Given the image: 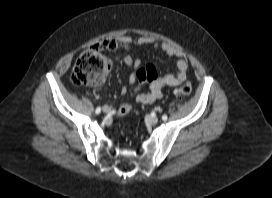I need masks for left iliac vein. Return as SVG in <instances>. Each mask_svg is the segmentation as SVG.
Instances as JSON below:
<instances>
[{"instance_id":"1","label":"left iliac vein","mask_w":272,"mask_h":198,"mask_svg":"<svg viewBox=\"0 0 272 198\" xmlns=\"http://www.w3.org/2000/svg\"><path fill=\"white\" fill-rule=\"evenodd\" d=\"M148 122L152 125H155L158 123V118L156 116H149L147 118Z\"/></svg>"}]
</instances>
